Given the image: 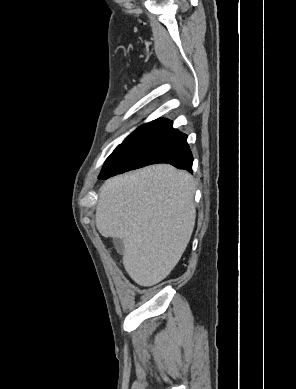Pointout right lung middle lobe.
I'll return each instance as SVG.
<instances>
[{
  "mask_svg": "<svg viewBox=\"0 0 296 389\" xmlns=\"http://www.w3.org/2000/svg\"><path fill=\"white\" fill-rule=\"evenodd\" d=\"M172 130V121L163 118L140 126L116 147L107 158L101 173L139 167L156 144Z\"/></svg>",
  "mask_w": 296,
  "mask_h": 389,
  "instance_id": "right-lung-middle-lobe-1",
  "label": "right lung middle lobe"
}]
</instances>
